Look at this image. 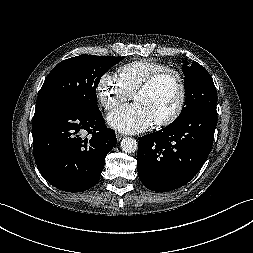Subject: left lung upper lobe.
Returning <instances> with one entry per match:
<instances>
[{
  "label": "left lung upper lobe",
  "instance_id": "1",
  "mask_svg": "<svg viewBox=\"0 0 253 253\" xmlns=\"http://www.w3.org/2000/svg\"><path fill=\"white\" fill-rule=\"evenodd\" d=\"M186 99L179 117L170 125L190 116L194 111L206 108L216 110L217 92L208 71L197 62L183 61Z\"/></svg>",
  "mask_w": 253,
  "mask_h": 253
}]
</instances>
